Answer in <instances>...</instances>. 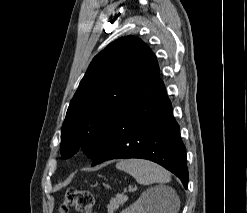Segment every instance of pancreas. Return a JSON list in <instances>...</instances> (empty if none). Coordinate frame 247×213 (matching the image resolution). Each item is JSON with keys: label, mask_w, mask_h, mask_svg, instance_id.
Segmentation results:
<instances>
[{"label": "pancreas", "mask_w": 247, "mask_h": 213, "mask_svg": "<svg viewBox=\"0 0 247 213\" xmlns=\"http://www.w3.org/2000/svg\"><path fill=\"white\" fill-rule=\"evenodd\" d=\"M127 199L128 197L123 194H119L111 198L109 204L107 205L108 213H113L119 208V206L123 205Z\"/></svg>", "instance_id": "cf45deb5"}]
</instances>
